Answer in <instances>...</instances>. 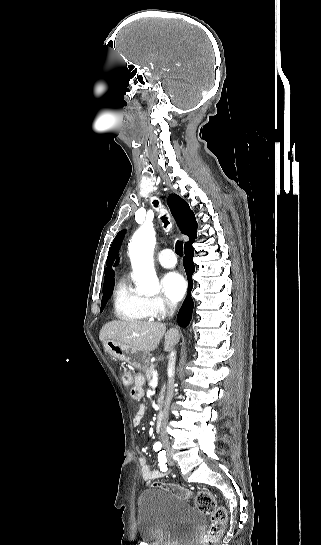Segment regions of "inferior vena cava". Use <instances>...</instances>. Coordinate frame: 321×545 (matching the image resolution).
Returning <instances> with one entry per match:
<instances>
[{
    "label": "inferior vena cava",
    "mask_w": 321,
    "mask_h": 545,
    "mask_svg": "<svg viewBox=\"0 0 321 545\" xmlns=\"http://www.w3.org/2000/svg\"><path fill=\"white\" fill-rule=\"evenodd\" d=\"M167 305L170 309V317H172L176 307L177 303H174V301H167ZM175 363H176V351H171L170 357H169V363H168V369L171 371V377L168 379V387H167V395H166V401H165V407L162 415V421H161V431H160V439L163 443L164 449L170 448V442L169 437L167 433V423L169 419V407L170 403L174 397V383H175Z\"/></svg>",
    "instance_id": "1"
}]
</instances>
